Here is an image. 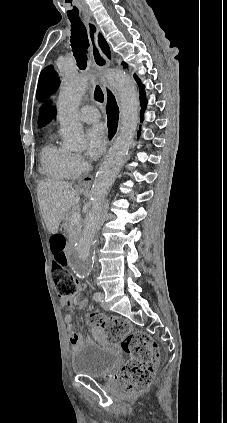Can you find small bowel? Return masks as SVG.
<instances>
[{"mask_svg":"<svg viewBox=\"0 0 227 423\" xmlns=\"http://www.w3.org/2000/svg\"><path fill=\"white\" fill-rule=\"evenodd\" d=\"M75 303V295L69 296V297H61L60 298V304L61 306H73ZM78 306L81 308L86 307V302L85 301H81L78 303ZM72 315L71 314H66L64 316V322L67 328V331L69 332V341L71 343V345L76 348L79 345L82 344V335L78 332H73V325H72ZM92 335L93 337L98 340V341H104V333L101 329L99 328H93L92 330Z\"/></svg>","mask_w":227,"mask_h":423,"instance_id":"1","label":"small bowel"}]
</instances>
